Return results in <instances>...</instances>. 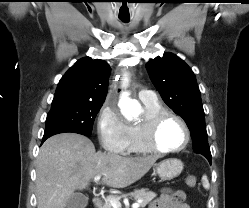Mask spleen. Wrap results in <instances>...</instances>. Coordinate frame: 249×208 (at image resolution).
<instances>
[{
    "label": "spleen",
    "mask_w": 249,
    "mask_h": 208,
    "mask_svg": "<svg viewBox=\"0 0 249 208\" xmlns=\"http://www.w3.org/2000/svg\"><path fill=\"white\" fill-rule=\"evenodd\" d=\"M202 184H203V187H204L205 189H209L210 184H209V181H208L206 175H204V176L202 177Z\"/></svg>",
    "instance_id": "1"
}]
</instances>
